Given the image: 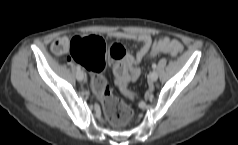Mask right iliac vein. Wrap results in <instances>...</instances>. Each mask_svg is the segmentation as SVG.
Segmentation results:
<instances>
[{
    "label": "right iliac vein",
    "mask_w": 238,
    "mask_h": 145,
    "mask_svg": "<svg viewBox=\"0 0 238 145\" xmlns=\"http://www.w3.org/2000/svg\"><path fill=\"white\" fill-rule=\"evenodd\" d=\"M76 78H77L78 81H83L84 78H85L84 73L82 71H78L76 73Z\"/></svg>",
    "instance_id": "obj_1"
}]
</instances>
